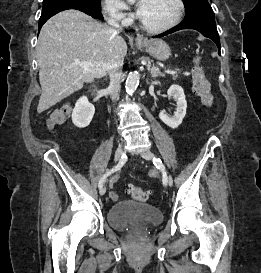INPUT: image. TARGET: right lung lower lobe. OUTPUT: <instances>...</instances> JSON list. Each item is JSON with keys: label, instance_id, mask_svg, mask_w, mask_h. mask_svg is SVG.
<instances>
[{"label": "right lung lower lobe", "instance_id": "obj_1", "mask_svg": "<svg viewBox=\"0 0 261 273\" xmlns=\"http://www.w3.org/2000/svg\"><path fill=\"white\" fill-rule=\"evenodd\" d=\"M65 8L58 9L56 11H53L51 13L41 14V17L39 19V30L41 29L42 25L53 15L59 13L60 11L67 10V9H77L80 10L93 18L103 20V16L101 14V10L94 8L92 6H89L85 3L84 0H70L65 2Z\"/></svg>", "mask_w": 261, "mask_h": 273}]
</instances>
